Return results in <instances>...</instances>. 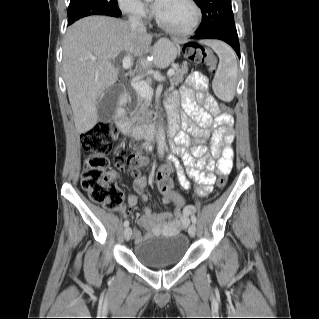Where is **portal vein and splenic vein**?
Instances as JSON below:
<instances>
[{"label":"portal vein and splenic vein","instance_id":"1","mask_svg":"<svg viewBox=\"0 0 319 319\" xmlns=\"http://www.w3.org/2000/svg\"><path fill=\"white\" fill-rule=\"evenodd\" d=\"M123 67L124 69H129L131 67V58L129 55H126L123 58ZM175 70L173 68L169 69L167 72V76L171 77L174 74ZM133 88L137 91V93L144 98H151L153 95L152 88L144 81H132Z\"/></svg>","mask_w":319,"mask_h":319}]
</instances>
